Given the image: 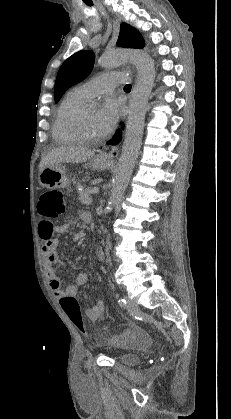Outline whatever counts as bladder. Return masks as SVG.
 I'll return each mask as SVG.
<instances>
[{"label": "bladder", "instance_id": "obj_1", "mask_svg": "<svg viewBox=\"0 0 231 419\" xmlns=\"http://www.w3.org/2000/svg\"><path fill=\"white\" fill-rule=\"evenodd\" d=\"M115 360L123 365H136L140 362V356L130 352H123L118 354Z\"/></svg>", "mask_w": 231, "mask_h": 419}]
</instances>
